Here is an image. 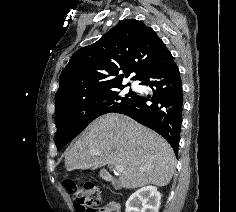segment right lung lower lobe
Listing matches in <instances>:
<instances>
[{"instance_id":"1","label":"right lung lower lobe","mask_w":236,"mask_h":212,"mask_svg":"<svg viewBox=\"0 0 236 212\" xmlns=\"http://www.w3.org/2000/svg\"><path fill=\"white\" fill-rule=\"evenodd\" d=\"M139 80L142 81L141 85L152 88L153 93L148 96L136 95L130 104L115 112L128 115L162 135L177 156L183 93L179 69L167 48Z\"/></svg>"}]
</instances>
